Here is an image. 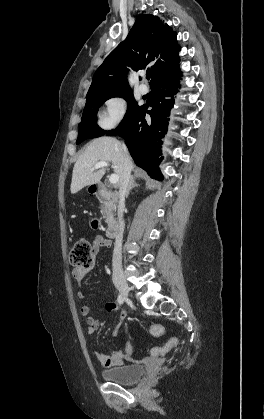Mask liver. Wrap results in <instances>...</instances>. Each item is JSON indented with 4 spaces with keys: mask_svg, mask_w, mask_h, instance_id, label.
I'll list each match as a JSON object with an SVG mask.
<instances>
[{
    "mask_svg": "<svg viewBox=\"0 0 264 419\" xmlns=\"http://www.w3.org/2000/svg\"><path fill=\"white\" fill-rule=\"evenodd\" d=\"M102 161L112 163L114 173L119 177L117 184L121 187L124 174L123 145L115 138L104 136L91 141L77 159L70 187L72 194L101 180L106 169L102 167L92 171L91 168Z\"/></svg>",
    "mask_w": 264,
    "mask_h": 419,
    "instance_id": "6515ba94",
    "label": "liver"
}]
</instances>
